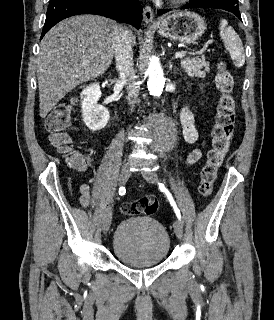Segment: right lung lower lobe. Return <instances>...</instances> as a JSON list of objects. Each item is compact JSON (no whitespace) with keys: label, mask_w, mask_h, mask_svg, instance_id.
Returning a JSON list of instances; mask_svg holds the SVG:
<instances>
[{"label":"right lung lower lobe","mask_w":274,"mask_h":320,"mask_svg":"<svg viewBox=\"0 0 274 320\" xmlns=\"http://www.w3.org/2000/svg\"><path fill=\"white\" fill-rule=\"evenodd\" d=\"M78 14H96L139 29L142 6L138 0H50L41 38L59 21Z\"/></svg>","instance_id":"98d812e1"}]
</instances>
